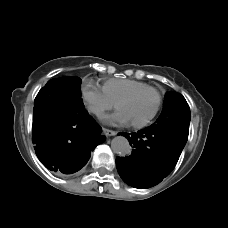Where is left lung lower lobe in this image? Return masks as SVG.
<instances>
[{
  "label": "left lung lower lobe",
  "instance_id": "obj_1",
  "mask_svg": "<svg viewBox=\"0 0 228 228\" xmlns=\"http://www.w3.org/2000/svg\"><path fill=\"white\" fill-rule=\"evenodd\" d=\"M119 134L128 138L134 150L130 156L116 158L118 173L127 184L140 189L158 184L174 169L188 139L157 123L137 133Z\"/></svg>",
  "mask_w": 228,
  "mask_h": 228
}]
</instances>
